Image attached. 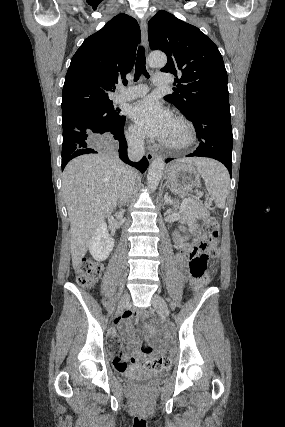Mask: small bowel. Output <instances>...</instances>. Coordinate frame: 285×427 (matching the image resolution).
Masks as SVG:
<instances>
[{"mask_svg": "<svg viewBox=\"0 0 285 427\" xmlns=\"http://www.w3.org/2000/svg\"><path fill=\"white\" fill-rule=\"evenodd\" d=\"M178 248L180 249V251L177 254V259L180 263L183 264L186 261V252L182 250L180 246H178ZM133 320H134V315H125L119 321V324L121 326H127L131 324ZM129 342L132 344H136V341L130 340ZM107 345L111 350L113 365L116 369H121L119 367V364L121 362H125L126 360H128L131 363L138 364V363H141L148 356L147 353L141 351L138 348H135L130 354H124L122 350L121 342L114 338L113 333H110L107 339Z\"/></svg>", "mask_w": 285, "mask_h": 427, "instance_id": "1", "label": "small bowel"}]
</instances>
